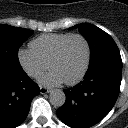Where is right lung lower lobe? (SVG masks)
Masks as SVG:
<instances>
[{
	"label": "right lung lower lobe",
	"instance_id": "98d812e1",
	"mask_svg": "<svg viewBox=\"0 0 128 128\" xmlns=\"http://www.w3.org/2000/svg\"><path fill=\"white\" fill-rule=\"evenodd\" d=\"M40 93L23 69L0 66V128H15L28 115L32 99Z\"/></svg>",
	"mask_w": 128,
	"mask_h": 128
}]
</instances>
